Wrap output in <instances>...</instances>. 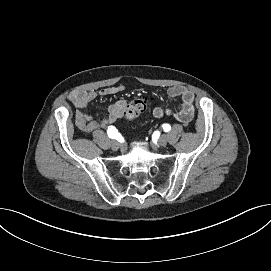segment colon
<instances>
[{
    "label": "colon",
    "mask_w": 271,
    "mask_h": 271,
    "mask_svg": "<svg viewBox=\"0 0 271 271\" xmlns=\"http://www.w3.org/2000/svg\"><path fill=\"white\" fill-rule=\"evenodd\" d=\"M147 105L148 100L145 98L132 100L127 104L124 115L127 119L134 120L146 110Z\"/></svg>",
    "instance_id": "5ec220e1"
}]
</instances>
